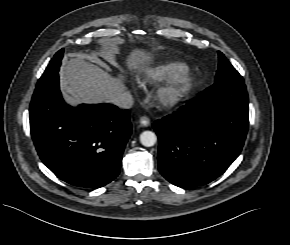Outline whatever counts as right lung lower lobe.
I'll use <instances>...</instances> for the list:
<instances>
[{
	"label": "right lung lower lobe",
	"mask_w": 290,
	"mask_h": 245,
	"mask_svg": "<svg viewBox=\"0 0 290 245\" xmlns=\"http://www.w3.org/2000/svg\"><path fill=\"white\" fill-rule=\"evenodd\" d=\"M30 131L41 160L58 178L99 188L119 174L132 126L129 111L111 104L67 105L56 73L37 83Z\"/></svg>",
	"instance_id": "98d812e1"
}]
</instances>
